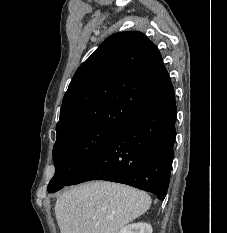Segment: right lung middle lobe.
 I'll list each match as a JSON object with an SVG mask.
<instances>
[{
	"label": "right lung middle lobe",
	"mask_w": 227,
	"mask_h": 233,
	"mask_svg": "<svg viewBox=\"0 0 227 233\" xmlns=\"http://www.w3.org/2000/svg\"><path fill=\"white\" fill-rule=\"evenodd\" d=\"M117 130L86 126L57 135L53 148L56 171L48 185V192H56L74 179Z\"/></svg>",
	"instance_id": "1"
}]
</instances>
